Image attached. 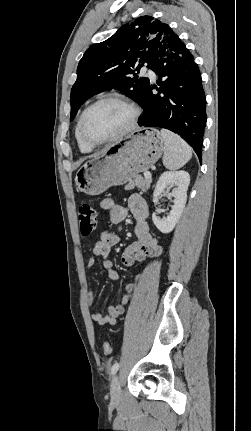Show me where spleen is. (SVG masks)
<instances>
[{"label": "spleen", "instance_id": "spleen-1", "mask_svg": "<svg viewBox=\"0 0 251 431\" xmlns=\"http://www.w3.org/2000/svg\"><path fill=\"white\" fill-rule=\"evenodd\" d=\"M160 134L164 142L163 164L170 170L181 168L191 158V148L171 131L161 129Z\"/></svg>", "mask_w": 251, "mask_h": 431}]
</instances>
